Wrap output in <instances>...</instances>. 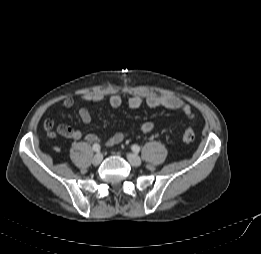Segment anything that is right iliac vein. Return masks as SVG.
<instances>
[{
    "label": "right iliac vein",
    "instance_id": "1",
    "mask_svg": "<svg viewBox=\"0 0 261 254\" xmlns=\"http://www.w3.org/2000/svg\"><path fill=\"white\" fill-rule=\"evenodd\" d=\"M102 159H103L102 154L101 153H97L92 158V164L97 166V165H99L101 163Z\"/></svg>",
    "mask_w": 261,
    "mask_h": 254
}]
</instances>
